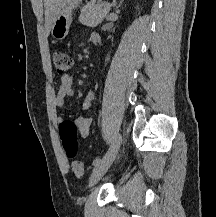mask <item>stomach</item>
Here are the masks:
<instances>
[{"instance_id":"0dacf381","label":"stomach","mask_w":216,"mask_h":217,"mask_svg":"<svg viewBox=\"0 0 216 217\" xmlns=\"http://www.w3.org/2000/svg\"><path fill=\"white\" fill-rule=\"evenodd\" d=\"M83 0H66L60 12L56 16L52 27L51 34L57 40H63L69 32L72 23L73 10L82 4Z\"/></svg>"}]
</instances>
